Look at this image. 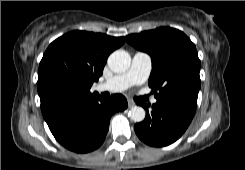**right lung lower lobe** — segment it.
<instances>
[{"instance_id":"1","label":"right lung lower lobe","mask_w":245,"mask_h":170,"mask_svg":"<svg viewBox=\"0 0 245 170\" xmlns=\"http://www.w3.org/2000/svg\"><path fill=\"white\" fill-rule=\"evenodd\" d=\"M126 108V98L121 94L113 95L110 99L96 95L70 107L48 126L56 140L65 148L77 153H87L103 143L112 114Z\"/></svg>"}]
</instances>
